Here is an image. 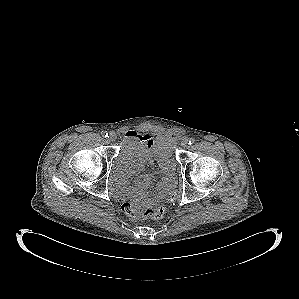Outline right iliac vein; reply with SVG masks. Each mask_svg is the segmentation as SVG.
Masks as SVG:
<instances>
[{
  "mask_svg": "<svg viewBox=\"0 0 299 299\" xmlns=\"http://www.w3.org/2000/svg\"><path fill=\"white\" fill-rule=\"evenodd\" d=\"M109 139H110L111 141H115V140L117 139V135H116V133H115V132H110V133H109Z\"/></svg>",
  "mask_w": 299,
  "mask_h": 299,
  "instance_id": "63e3f726",
  "label": "right iliac vein"
}]
</instances>
